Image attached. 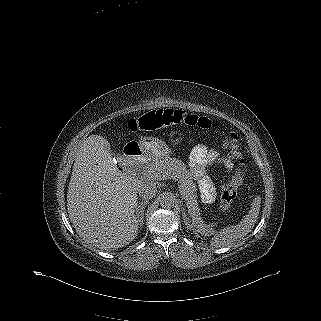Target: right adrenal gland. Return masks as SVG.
<instances>
[{
	"instance_id": "2a0ac1e0",
	"label": "right adrenal gland",
	"mask_w": 321,
	"mask_h": 321,
	"mask_svg": "<svg viewBox=\"0 0 321 321\" xmlns=\"http://www.w3.org/2000/svg\"><path fill=\"white\" fill-rule=\"evenodd\" d=\"M147 204H148V201L144 200L140 202L139 205H137L136 207V217L138 219V223L140 226L144 224V211Z\"/></svg>"
}]
</instances>
